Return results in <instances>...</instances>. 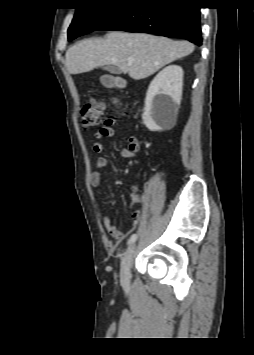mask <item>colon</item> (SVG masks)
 Listing matches in <instances>:
<instances>
[{
    "label": "colon",
    "instance_id": "obj_1",
    "mask_svg": "<svg viewBox=\"0 0 254 355\" xmlns=\"http://www.w3.org/2000/svg\"><path fill=\"white\" fill-rule=\"evenodd\" d=\"M116 104H119L117 99L114 100ZM105 105L102 101L97 99L89 100L82 108L80 121L84 129H92L101 124Z\"/></svg>",
    "mask_w": 254,
    "mask_h": 355
}]
</instances>
